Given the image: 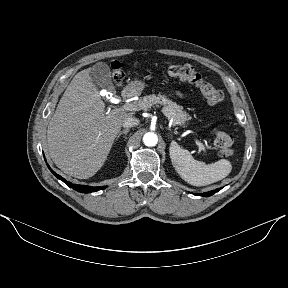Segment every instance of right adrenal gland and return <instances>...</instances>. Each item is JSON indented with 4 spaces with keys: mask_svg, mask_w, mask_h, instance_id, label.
Listing matches in <instances>:
<instances>
[{
    "mask_svg": "<svg viewBox=\"0 0 288 288\" xmlns=\"http://www.w3.org/2000/svg\"><path fill=\"white\" fill-rule=\"evenodd\" d=\"M128 132H129V129H125V130L120 131L119 134L116 136V140H118V138H119L122 134H124L125 137H126V135H127Z\"/></svg>",
    "mask_w": 288,
    "mask_h": 288,
    "instance_id": "1",
    "label": "right adrenal gland"
}]
</instances>
